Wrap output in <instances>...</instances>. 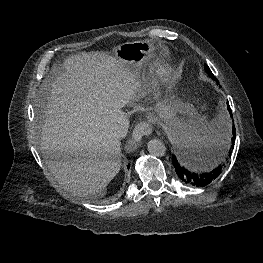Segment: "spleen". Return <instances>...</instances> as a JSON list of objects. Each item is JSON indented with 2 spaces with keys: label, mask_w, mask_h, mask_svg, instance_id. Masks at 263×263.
<instances>
[{
  "label": "spleen",
  "mask_w": 263,
  "mask_h": 263,
  "mask_svg": "<svg viewBox=\"0 0 263 263\" xmlns=\"http://www.w3.org/2000/svg\"><path fill=\"white\" fill-rule=\"evenodd\" d=\"M230 128V122L225 118H217L211 123L178 122L170 137L179 149L197 155L196 167L206 170L222 158L231 137Z\"/></svg>",
  "instance_id": "spleen-1"
}]
</instances>
